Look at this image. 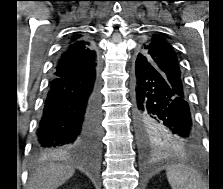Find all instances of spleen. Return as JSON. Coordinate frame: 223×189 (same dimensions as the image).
I'll return each mask as SVG.
<instances>
[{
  "mask_svg": "<svg viewBox=\"0 0 223 189\" xmlns=\"http://www.w3.org/2000/svg\"><path fill=\"white\" fill-rule=\"evenodd\" d=\"M167 179L172 189H202L197 173L190 167L178 164L167 168Z\"/></svg>",
  "mask_w": 223,
  "mask_h": 189,
  "instance_id": "3e777b00",
  "label": "spleen"
}]
</instances>
